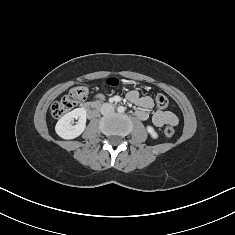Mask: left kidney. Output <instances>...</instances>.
Returning a JSON list of instances; mask_svg holds the SVG:
<instances>
[{"label": "left kidney", "instance_id": "left-kidney-1", "mask_svg": "<svg viewBox=\"0 0 235 235\" xmlns=\"http://www.w3.org/2000/svg\"><path fill=\"white\" fill-rule=\"evenodd\" d=\"M146 130H147V132L150 134V136L153 139H157L158 138V133L155 131V129L152 126L148 125L146 127Z\"/></svg>", "mask_w": 235, "mask_h": 235}]
</instances>
